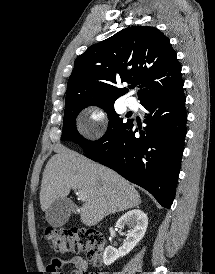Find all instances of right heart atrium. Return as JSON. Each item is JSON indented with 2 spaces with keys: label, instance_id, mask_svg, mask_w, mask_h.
Masks as SVG:
<instances>
[{
  "label": "right heart atrium",
  "instance_id": "1",
  "mask_svg": "<svg viewBox=\"0 0 215 274\" xmlns=\"http://www.w3.org/2000/svg\"><path fill=\"white\" fill-rule=\"evenodd\" d=\"M108 127L106 112L99 106H89L83 113L79 129L83 136L90 140L100 139Z\"/></svg>",
  "mask_w": 215,
  "mask_h": 274
}]
</instances>
